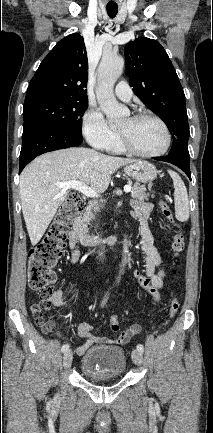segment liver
Returning <instances> with one entry per match:
<instances>
[{
	"label": "liver",
	"instance_id": "1",
	"mask_svg": "<svg viewBox=\"0 0 213 433\" xmlns=\"http://www.w3.org/2000/svg\"><path fill=\"white\" fill-rule=\"evenodd\" d=\"M134 159L104 155L92 149L73 147L46 153L30 163L20 175L22 213L31 244L35 246L67 196L56 183L81 181L104 192L115 171Z\"/></svg>",
	"mask_w": 213,
	"mask_h": 433
}]
</instances>
